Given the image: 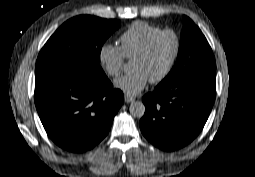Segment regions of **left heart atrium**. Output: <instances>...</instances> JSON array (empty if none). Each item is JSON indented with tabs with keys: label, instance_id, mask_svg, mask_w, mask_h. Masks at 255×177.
I'll list each match as a JSON object with an SVG mask.
<instances>
[{
	"label": "left heart atrium",
	"instance_id": "obj_1",
	"mask_svg": "<svg viewBox=\"0 0 255 177\" xmlns=\"http://www.w3.org/2000/svg\"><path fill=\"white\" fill-rule=\"evenodd\" d=\"M148 78L141 71H132L115 81V86L127 95H137L146 86Z\"/></svg>",
	"mask_w": 255,
	"mask_h": 177
}]
</instances>
